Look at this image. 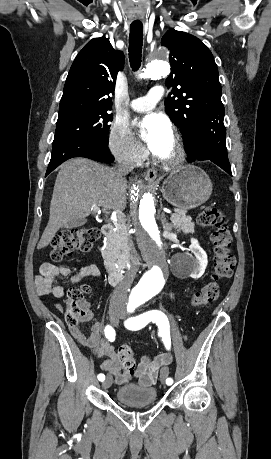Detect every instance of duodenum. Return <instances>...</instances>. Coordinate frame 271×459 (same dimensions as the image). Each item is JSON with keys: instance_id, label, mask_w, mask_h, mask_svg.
I'll return each instance as SVG.
<instances>
[{"instance_id": "duodenum-1", "label": "duodenum", "mask_w": 271, "mask_h": 459, "mask_svg": "<svg viewBox=\"0 0 271 459\" xmlns=\"http://www.w3.org/2000/svg\"><path fill=\"white\" fill-rule=\"evenodd\" d=\"M114 231L113 225L110 223H107L102 226L101 228V233L104 237H109L112 235ZM122 273L119 270H111L109 273V281L112 285H118L122 281Z\"/></svg>"}]
</instances>
